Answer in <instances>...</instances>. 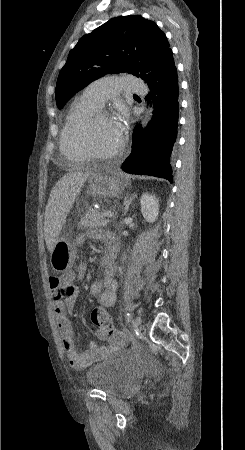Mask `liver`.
Listing matches in <instances>:
<instances>
[{
	"label": "liver",
	"instance_id": "1",
	"mask_svg": "<svg viewBox=\"0 0 245 450\" xmlns=\"http://www.w3.org/2000/svg\"><path fill=\"white\" fill-rule=\"evenodd\" d=\"M96 174L95 168L69 172L53 187L46 205L44 222L45 242L50 253L81 188L90 177Z\"/></svg>",
	"mask_w": 245,
	"mask_h": 450
}]
</instances>
